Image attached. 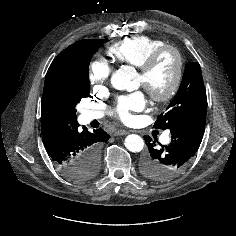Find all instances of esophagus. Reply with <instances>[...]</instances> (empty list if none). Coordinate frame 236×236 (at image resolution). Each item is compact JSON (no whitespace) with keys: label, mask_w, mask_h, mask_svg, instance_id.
I'll return each mask as SVG.
<instances>
[{"label":"esophagus","mask_w":236,"mask_h":236,"mask_svg":"<svg viewBox=\"0 0 236 236\" xmlns=\"http://www.w3.org/2000/svg\"><path fill=\"white\" fill-rule=\"evenodd\" d=\"M128 133H129V132L126 131V130H124V129H118V130L115 131L114 135H116V136H121V135H126V134H128Z\"/></svg>","instance_id":"1"}]
</instances>
